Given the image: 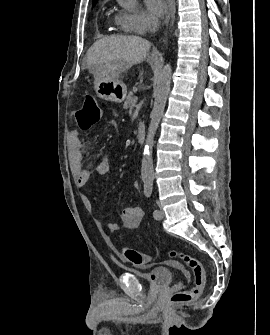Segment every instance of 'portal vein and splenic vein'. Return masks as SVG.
Listing matches in <instances>:
<instances>
[{"mask_svg": "<svg viewBox=\"0 0 270 335\" xmlns=\"http://www.w3.org/2000/svg\"><path fill=\"white\" fill-rule=\"evenodd\" d=\"M135 99H136V100H139V99H140V96H139V95H136V96H135Z\"/></svg>", "mask_w": 270, "mask_h": 335, "instance_id": "obj_1", "label": "portal vein and splenic vein"}]
</instances>
